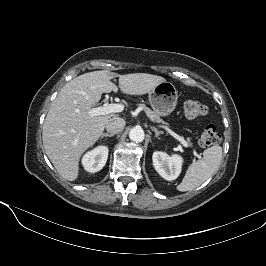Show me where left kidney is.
I'll return each instance as SVG.
<instances>
[{"label":"left kidney","instance_id":"1","mask_svg":"<svg viewBox=\"0 0 266 266\" xmlns=\"http://www.w3.org/2000/svg\"><path fill=\"white\" fill-rule=\"evenodd\" d=\"M153 165L160 176L168 181L175 180L182 168L183 159L179 155L169 156L165 152H154Z\"/></svg>","mask_w":266,"mask_h":266}]
</instances>
